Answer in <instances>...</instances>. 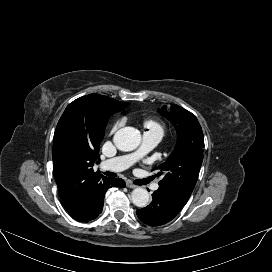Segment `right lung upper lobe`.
Returning a JSON list of instances; mask_svg holds the SVG:
<instances>
[{
  "label": "right lung upper lobe",
  "mask_w": 272,
  "mask_h": 272,
  "mask_svg": "<svg viewBox=\"0 0 272 272\" xmlns=\"http://www.w3.org/2000/svg\"><path fill=\"white\" fill-rule=\"evenodd\" d=\"M128 105L99 94L86 95L70 103L57 124L53 172L62 203L76 220L94 208L108 180L92 168L104 137L101 121L108 112Z\"/></svg>",
  "instance_id": "1"
}]
</instances>
